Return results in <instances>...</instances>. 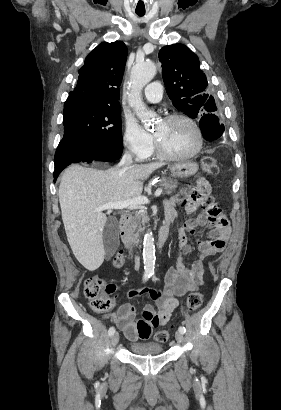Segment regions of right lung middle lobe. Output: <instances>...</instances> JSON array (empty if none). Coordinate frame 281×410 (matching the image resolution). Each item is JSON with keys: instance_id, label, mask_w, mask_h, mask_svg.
<instances>
[{"instance_id": "obj_1", "label": "right lung middle lobe", "mask_w": 281, "mask_h": 410, "mask_svg": "<svg viewBox=\"0 0 281 410\" xmlns=\"http://www.w3.org/2000/svg\"><path fill=\"white\" fill-rule=\"evenodd\" d=\"M64 136L55 158L64 152L90 147H122L119 107L71 104L64 106Z\"/></svg>"}]
</instances>
